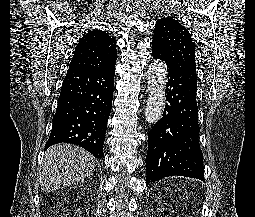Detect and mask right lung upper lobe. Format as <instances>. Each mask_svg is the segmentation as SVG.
<instances>
[{"instance_id": "right-lung-upper-lobe-1", "label": "right lung upper lobe", "mask_w": 255, "mask_h": 217, "mask_svg": "<svg viewBox=\"0 0 255 217\" xmlns=\"http://www.w3.org/2000/svg\"><path fill=\"white\" fill-rule=\"evenodd\" d=\"M116 43L104 31L93 29L75 47L68 70L98 69L116 62Z\"/></svg>"}]
</instances>
